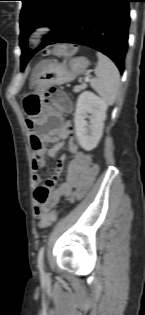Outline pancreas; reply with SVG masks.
Masks as SVG:
<instances>
[{"instance_id":"obj_1","label":"pancreas","mask_w":145,"mask_h":315,"mask_svg":"<svg viewBox=\"0 0 145 315\" xmlns=\"http://www.w3.org/2000/svg\"><path fill=\"white\" fill-rule=\"evenodd\" d=\"M86 87H87V86H86L85 84H83V85H77V86L74 87L73 90H74V92L78 93V92L84 90Z\"/></svg>"}]
</instances>
